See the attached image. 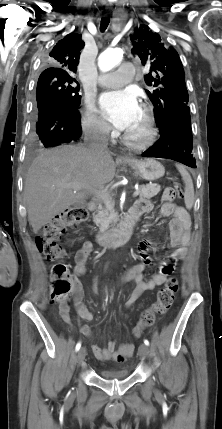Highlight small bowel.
Here are the masks:
<instances>
[{
    "label": "small bowel",
    "mask_w": 222,
    "mask_h": 429,
    "mask_svg": "<svg viewBox=\"0 0 222 429\" xmlns=\"http://www.w3.org/2000/svg\"><path fill=\"white\" fill-rule=\"evenodd\" d=\"M152 210L153 205L147 199L139 200L132 209V211L139 214V216L145 213H150ZM161 214L165 217H172L170 222V243L174 251L164 262L157 266V272L151 275L148 280H146L144 277V272L147 266L152 264V259L149 257L148 251L152 248L153 242L144 240L139 243L138 253L140 262L126 270V272L119 278L118 281L119 285L128 281H134L136 283L135 290L125 303L126 309L130 308L143 292L152 290L155 287L162 285L174 270L176 262L178 260L185 259L187 256L191 227V220L188 212L179 205L171 202H164L161 207ZM92 250L93 244L90 241H85L76 251L74 256L75 267L73 280L78 295L80 294L81 287L76 276L86 272L88 258ZM93 289L95 292H98L96 278L93 282ZM76 306L82 319L86 321L93 320L92 313L84 306L79 298L76 300ZM60 316L65 322H70V307L68 305H63L60 307ZM80 331L86 337H89L92 334L90 327L87 325L82 326ZM134 349L135 345L131 342L122 343L118 349H116V342L114 340L108 341L104 347H100L98 345L91 346L94 356L98 360L104 362H124L127 358L132 356Z\"/></svg>",
    "instance_id": "obj_1"
}]
</instances>
